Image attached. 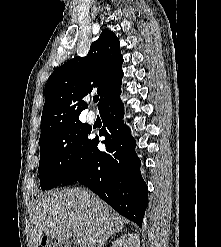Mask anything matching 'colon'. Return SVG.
<instances>
[{"instance_id":"1","label":"colon","mask_w":221,"mask_h":247,"mask_svg":"<svg viewBox=\"0 0 221 247\" xmlns=\"http://www.w3.org/2000/svg\"><path fill=\"white\" fill-rule=\"evenodd\" d=\"M41 247H66V245L59 242H47L44 243Z\"/></svg>"}]
</instances>
